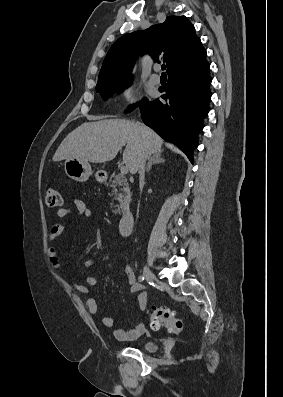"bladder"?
Segmentation results:
<instances>
[{
    "label": "bladder",
    "mask_w": 283,
    "mask_h": 397,
    "mask_svg": "<svg viewBox=\"0 0 283 397\" xmlns=\"http://www.w3.org/2000/svg\"><path fill=\"white\" fill-rule=\"evenodd\" d=\"M157 343L153 341H148L140 345V348L146 352L152 353L157 350Z\"/></svg>",
    "instance_id": "1"
}]
</instances>
